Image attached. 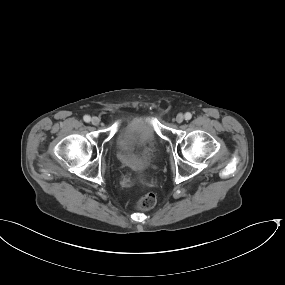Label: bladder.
Segmentation results:
<instances>
[{
  "label": "bladder",
  "instance_id": "31cf9c89",
  "mask_svg": "<svg viewBox=\"0 0 285 285\" xmlns=\"http://www.w3.org/2000/svg\"><path fill=\"white\" fill-rule=\"evenodd\" d=\"M114 141L119 160L132 169L148 165L155 149L154 131L148 118L144 116L135 117L126 126L117 130Z\"/></svg>",
  "mask_w": 285,
  "mask_h": 285
}]
</instances>
